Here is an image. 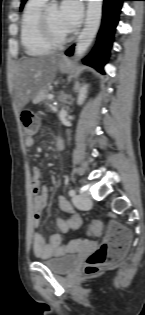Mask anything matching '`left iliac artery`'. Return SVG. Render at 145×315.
I'll return each mask as SVG.
<instances>
[{
  "instance_id": "left-iliac-artery-1",
  "label": "left iliac artery",
  "mask_w": 145,
  "mask_h": 315,
  "mask_svg": "<svg viewBox=\"0 0 145 315\" xmlns=\"http://www.w3.org/2000/svg\"><path fill=\"white\" fill-rule=\"evenodd\" d=\"M68 194H69V196L73 197V196H75L76 192H75L74 189H70V190L68 191Z\"/></svg>"
}]
</instances>
